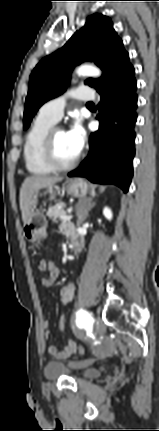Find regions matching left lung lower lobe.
I'll list each match as a JSON object with an SVG mask.
<instances>
[{
  "label": "left lung lower lobe",
  "mask_w": 159,
  "mask_h": 431,
  "mask_svg": "<svg viewBox=\"0 0 159 431\" xmlns=\"http://www.w3.org/2000/svg\"><path fill=\"white\" fill-rule=\"evenodd\" d=\"M136 88L134 67L129 64L99 91V129L91 134L88 156L69 177H86L93 183L115 184L128 191L135 155Z\"/></svg>",
  "instance_id": "left-lung-lower-lobe-1"
}]
</instances>
